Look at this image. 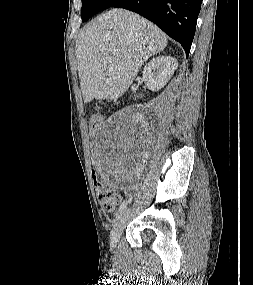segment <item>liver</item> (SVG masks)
<instances>
[{
  "mask_svg": "<svg viewBox=\"0 0 253 285\" xmlns=\"http://www.w3.org/2000/svg\"><path fill=\"white\" fill-rule=\"evenodd\" d=\"M167 43L161 29L136 13L113 9L99 15L76 43L84 102L122 96L144 62Z\"/></svg>",
  "mask_w": 253,
  "mask_h": 285,
  "instance_id": "6515ba94",
  "label": "liver"
}]
</instances>
